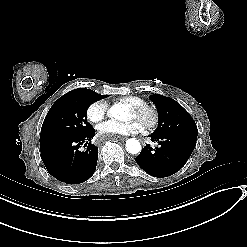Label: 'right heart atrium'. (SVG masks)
<instances>
[{
	"label": "right heart atrium",
	"mask_w": 247,
	"mask_h": 247,
	"mask_svg": "<svg viewBox=\"0 0 247 247\" xmlns=\"http://www.w3.org/2000/svg\"><path fill=\"white\" fill-rule=\"evenodd\" d=\"M108 106L103 100L92 102L87 108V117L91 122H100L107 114Z\"/></svg>",
	"instance_id": "d8ad5b80"
}]
</instances>
